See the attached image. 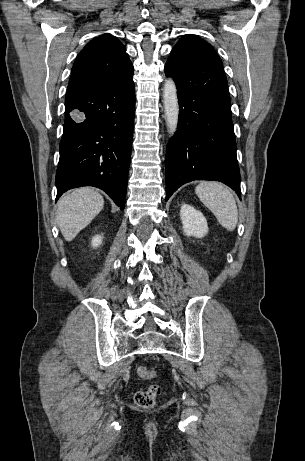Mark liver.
I'll return each instance as SVG.
<instances>
[{"label": "liver", "mask_w": 305, "mask_h": 461, "mask_svg": "<svg viewBox=\"0 0 305 461\" xmlns=\"http://www.w3.org/2000/svg\"><path fill=\"white\" fill-rule=\"evenodd\" d=\"M103 206V197L92 188H78L63 196L58 203L56 220L65 240L72 241Z\"/></svg>", "instance_id": "liver-1"}]
</instances>
